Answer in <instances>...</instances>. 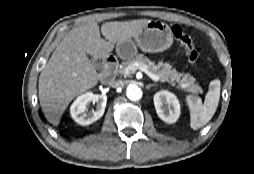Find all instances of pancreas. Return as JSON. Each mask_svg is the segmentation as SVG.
Masks as SVG:
<instances>
[{"instance_id":"cf45deb5","label":"pancreas","mask_w":254,"mask_h":174,"mask_svg":"<svg viewBox=\"0 0 254 174\" xmlns=\"http://www.w3.org/2000/svg\"><path fill=\"white\" fill-rule=\"evenodd\" d=\"M135 62H141L148 66V68H151L153 73L160 77V80L162 82H169L171 84H181L185 85V87H181L185 91L191 92L193 94L201 93L202 89L200 86L195 84V78L190 76L189 74H179L172 66L165 62L159 61L157 64L150 60L147 56L143 54H137L135 57L128 59L127 61H123L120 64V67L118 69V74L121 76H128L125 74V68L133 64ZM182 77V78H181Z\"/></svg>"}]
</instances>
